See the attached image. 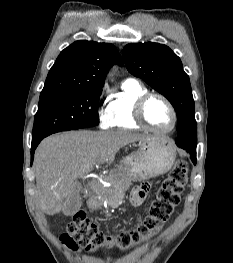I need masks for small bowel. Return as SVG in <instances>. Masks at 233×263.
<instances>
[{
  "instance_id": "obj_1",
  "label": "small bowel",
  "mask_w": 233,
  "mask_h": 263,
  "mask_svg": "<svg viewBox=\"0 0 233 263\" xmlns=\"http://www.w3.org/2000/svg\"><path fill=\"white\" fill-rule=\"evenodd\" d=\"M150 189V184L145 183L140 186H137L133 189L131 194V202L135 206H139L142 204L144 199L146 198L148 191Z\"/></svg>"
}]
</instances>
